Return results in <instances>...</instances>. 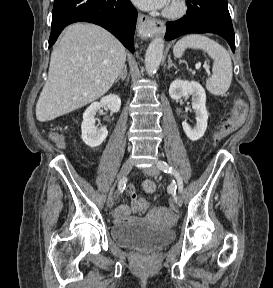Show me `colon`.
<instances>
[{
	"label": "colon",
	"instance_id": "1",
	"mask_svg": "<svg viewBox=\"0 0 273 288\" xmlns=\"http://www.w3.org/2000/svg\"><path fill=\"white\" fill-rule=\"evenodd\" d=\"M248 106L246 101L241 96H236L233 100L231 114L220 125L217 132L214 134L213 142L218 143L228 135L235 132L244 122ZM53 140L58 144H63V139L58 134H52ZM135 207L138 212H146L149 208V203L145 199L136 200Z\"/></svg>",
	"mask_w": 273,
	"mask_h": 288
}]
</instances>
